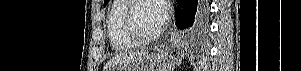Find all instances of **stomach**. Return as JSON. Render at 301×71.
Listing matches in <instances>:
<instances>
[{
	"mask_svg": "<svg viewBox=\"0 0 301 71\" xmlns=\"http://www.w3.org/2000/svg\"><path fill=\"white\" fill-rule=\"evenodd\" d=\"M173 58L168 53H152L139 61L116 66L111 71H173Z\"/></svg>",
	"mask_w": 301,
	"mask_h": 71,
	"instance_id": "0dacf381",
	"label": "stomach"
}]
</instances>
